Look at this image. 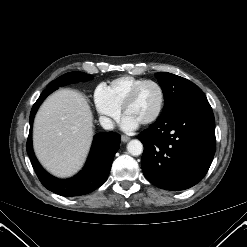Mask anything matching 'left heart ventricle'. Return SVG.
I'll return each mask as SVG.
<instances>
[{"label":"left heart ventricle","instance_id":"1","mask_svg":"<svg viewBox=\"0 0 247 247\" xmlns=\"http://www.w3.org/2000/svg\"><path fill=\"white\" fill-rule=\"evenodd\" d=\"M160 93L156 86L148 84L139 92L136 100L128 107L126 114L142 123L156 112Z\"/></svg>","mask_w":247,"mask_h":247}]
</instances>
